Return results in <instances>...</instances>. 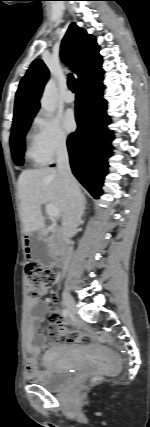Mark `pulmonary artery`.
I'll return each mask as SVG.
<instances>
[{"mask_svg": "<svg viewBox=\"0 0 150 427\" xmlns=\"http://www.w3.org/2000/svg\"><path fill=\"white\" fill-rule=\"evenodd\" d=\"M63 101L66 103H72L74 101V96L70 91H67L63 95Z\"/></svg>", "mask_w": 150, "mask_h": 427, "instance_id": "pulmonary-artery-1", "label": "pulmonary artery"}]
</instances>
